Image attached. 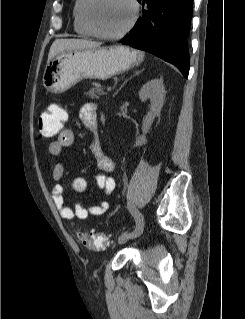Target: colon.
I'll return each instance as SVG.
<instances>
[{
  "mask_svg": "<svg viewBox=\"0 0 245 319\" xmlns=\"http://www.w3.org/2000/svg\"><path fill=\"white\" fill-rule=\"evenodd\" d=\"M65 121L64 109L58 106L48 108L39 116V131L44 137H53L62 131ZM78 239L84 247L89 249H102L109 245L108 237L102 233L79 232Z\"/></svg>",
  "mask_w": 245,
  "mask_h": 319,
  "instance_id": "obj_1",
  "label": "colon"
}]
</instances>
